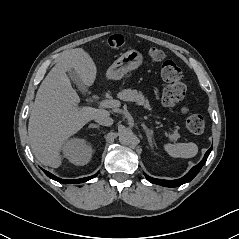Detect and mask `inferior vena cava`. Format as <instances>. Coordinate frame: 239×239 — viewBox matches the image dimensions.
I'll list each match as a JSON object with an SVG mask.
<instances>
[{
    "instance_id": "inferior-vena-cava-1",
    "label": "inferior vena cava",
    "mask_w": 239,
    "mask_h": 239,
    "mask_svg": "<svg viewBox=\"0 0 239 239\" xmlns=\"http://www.w3.org/2000/svg\"><path fill=\"white\" fill-rule=\"evenodd\" d=\"M95 122L103 126H111L113 124V119L109 116V112L102 110L94 117Z\"/></svg>"
}]
</instances>
